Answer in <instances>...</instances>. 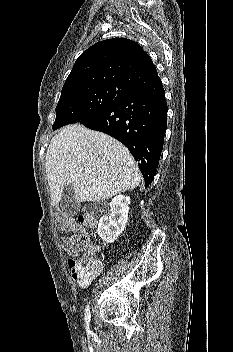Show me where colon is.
Wrapping results in <instances>:
<instances>
[{"label": "colon", "instance_id": "obj_1", "mask_svg": "<svg viewBox=\"0 0 233 352\" xmlns=\"http://www.w3.org/2000/svg\"><path fill=\"white\" fill-rule=\"evenodd\" d=\"M96 225L95 217L89 212L81 214L77 221L59 214L57 226L68 230L71 235L63 239L64 250L72 256L83 254L79 259L72 260V274L76 280L87 281L97 276L102 270L100 260L95 257V248L90 244L85 228H93Z\"/></svg>", "mask_w": 233, "mask_h": 352}]
</instances>
